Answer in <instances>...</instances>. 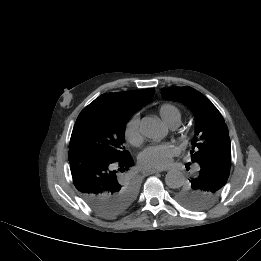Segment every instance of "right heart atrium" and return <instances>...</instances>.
I'll return each mask as SVG.
<instances>
[{
  "mask_svg": "<svg viewBox=\"0 0 261 261\" xmlns=\"http://www.w3.org/2000/svg\"><path fill=\"white\" fill-rule=\"evenodd\" d=\"M140 118L138 114H134L127 121L124 128L125 139L132 145H139L142 142V136L140 133Z\"/></svg>",
  "mask_w": 261,
  "mask_h": 261,
  "instance_id": "obj_1",
  "label": "right heart atrium"
}]
</instances>
